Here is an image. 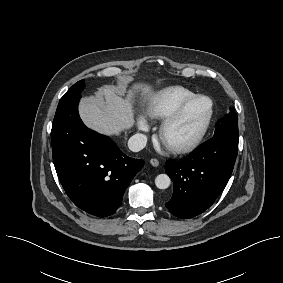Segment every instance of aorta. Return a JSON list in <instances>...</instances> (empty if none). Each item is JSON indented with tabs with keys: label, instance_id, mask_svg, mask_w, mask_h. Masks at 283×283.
<instances>
[{
	"label": "aorta",
	"instance_id": "762f6f07",
	"mask_svg": "<svg viewBox=\"0 0 283 283\" xmlns=\"http://www.w3.org/2000/svg\"><path fill=\"white\" fill-rule=\"evenodd\" d=\"M171 179L167 174H159L155 178V185L159 189H167L170 186Z\"/></svg>",
	"mask_w": 283,
	"mask_h": 283
}]
</instances>
